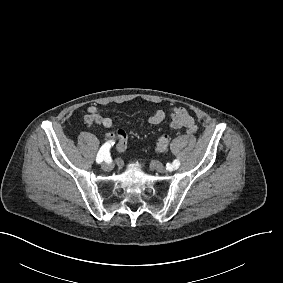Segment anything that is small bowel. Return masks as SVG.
Listing matches in <instances>:
<instances>
[{
  "label": "small bowel",
  "instance_id": "obj_1",
  "mask_svg": "<svg viewBox=\"0 0 283 283\" xmlns=\"http://www.w3.org/2000/svg\"><path fill=\"white\" fill-rule=\"evenodd\" d=\"M169 117V126L172 129L185 128L189 134H194L197 131V125L194 118L189 114L188 110L184 107H177L169 112H166L164 109H158L153 112L149 118L148 122L152 125H159ZM84 121L88 124H97L103 128L109 129L113 125V121L110 117L104 116L101 110L95 106L90 105L87 108V113L84 116ZM108 138H117L120 140L118 144V150L124 151L125 144V133L122 130L116 132L108 133Z\"/></svg>",
  "mask_w": 283,
  "mask_h": 283
}]
</instances>
